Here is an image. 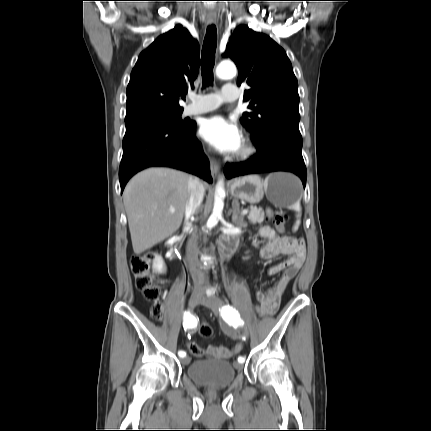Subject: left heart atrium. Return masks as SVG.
I'll return each mask as SVG.
<instances>
[{
    "label": "left heart atrium",
    "instance_id": "obj_1",
    "mask_svg": "<svg viewBox=\"0 0 431 431\" xmlns=\"http://www.w3.org/2000/svg\"><path fill=\"white\" fill-rule=\"evenodd\" d=\"M199 133L208 143L223 152H236L241 147L242 137L236 125L222 116L203 119Z\"/></svg>",
    "mask_w": 431,
    "mask_h": 431
}]
</instances>
